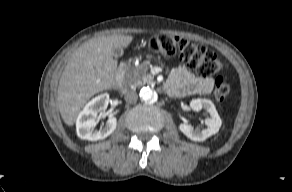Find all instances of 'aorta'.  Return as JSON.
I'll return each instance as SVG.
<instances>
[{
  "instance_id": "obj_1",
  "label": "aorta",
  "mask_w": 292,
  "mask_h": 192,
  "mask_svg": "<svg viewBox=\"0 0 292 192\" xmlns=\"http://www.w3.org/2000/svg\"><path fill=\"white\" fill-rule=\"evenodd\" d=\"M139 97L146 104L154 103L158 99L157 92L150 87H143L139 92Z\"/></svg>"
}]
</instances>
